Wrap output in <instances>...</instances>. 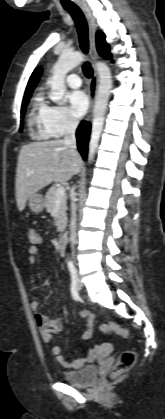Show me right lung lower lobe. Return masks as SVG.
I'll use <instances>...</instances> for the list:
<instances>
[{
  "instance_id": "1",
  "label": "right lung lower lobe",
  "mask_w": 165,
  "mask_h": 419,
  "mask_svg": "<svg viewBox=\"0 0 165 419\" xmlns=\"http://www.w3.org/2000/svg\"><path fill=\"white\" fill-rule=\"evenodd\" d=\"M90 129V124L88 122L82 121L76 132L78 150L81 153L84 160H86L87 158V146L89 141Z\"/></svg>"
}]
</instances>
